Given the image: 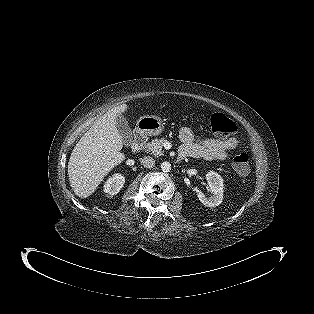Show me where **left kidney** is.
<instances>
[{
	"instance_id": "left-kidney-1",
	"label": "left kidney",
	"mask_w": 314,
	"mask_h": 314,
	"mask_svg": "<svg viewBox=\"0 0 314 314\" xmlns=\"http://www.w3.org/2000/svg\"><path fill=\"white\" fill-rule=\"evenodd\" d=\"M206 179L208 181L209 190L212 195L210 197H206L203 192L198 191L197 197L201 203L207 207L213 208L219 206L223 200V179L218 173L214 171H209L206 174Z\"/></svg>"
}]
</instances>
